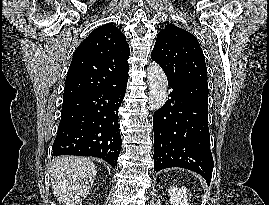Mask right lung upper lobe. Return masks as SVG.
<instances>
[{
	"mask_svg": "<svg viewBox=\"0 0 269 205\" xmlns=\"http://www.w3.org/2000/svg\"><path fill=\"white\" fill-rule=\"evenodd\" d=\"M130 55L125 35L114 25L93 30L74 52L64 98L118 86L128 72Z\"/></svg>",
	"mask_w": 269,
	"mask_h": 205,
	"instance_id": "obj_1",
	"label": "right lung upper lobe"
}]
</instances>
